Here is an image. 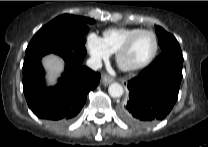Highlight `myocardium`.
Listing matches in <instances>:
<instances>
[{
    "label": "myocardium",
    "mask_w": 208,
    "mask_h": 147,
    "mask_svg": "<svg viewBox=\"0 0 208 147\" xmlns=\"http://www.w3.org/2000/svg\"><path fill=\"white\" fill-rule=\"evenodd\" d=\"M144 33H149L154 38L155 48H154V51H153L152 55L149 57L148 60H146L145 62H143L141 64H136V65L125 64L122 61L123 56L130 49V47L132 46L133 42L137 39V37H139L141 34H144ZM159 47H160L159 40H158V37H157L156 33L152 30L141 29L138 32L131 35L123 43V45L116 51V53H115L116 62L118 64L119 68L121 70L125 71V72H134V71L144 69V68L148 67L155 60V58L157 57L158 52H159Z\"/></svg>",
    "instance_id": "myocardium-1"
}]
</instances>
